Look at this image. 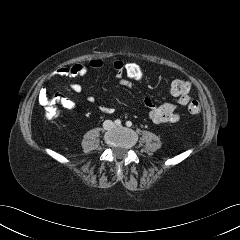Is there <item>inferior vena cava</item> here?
Segmentation results:
<instances>
[{"mask_svg": "<svg viewBox=\"0 0 240 240\" xmlns=\"http://www.w3.org/2000/svg\"><path fill=\"white\" fill-rule=\"evenodd\" d=\"M104 128H108V127L105 125V123H104Z\"/></svg>", "mask_w": 240, "mask_h": 240, "instance_id": "602c4592", "label": "inferior vena cava"}]
</instances>
